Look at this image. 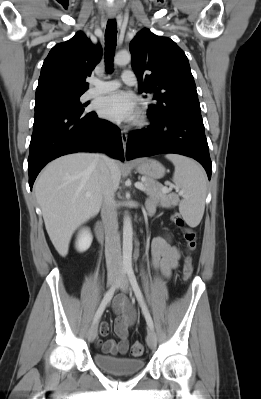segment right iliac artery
<instances>
[{
	"label": "right iliac artery",
	"mask_w": 261,
	"mask_h": 399,
	"mask_svg": "<svg viewBox=\"0 0 261 399\" xmlns=\"http://www.w3.org/2000/svg\"><path fill=\"white\" fill-rule=\"evenodd\" d=\"M126 270H122V275L121 278L125 276ZM120 278V280H121ZM120 280L114 285L112 286L104 295V298L99 306V308L97 309L94 319H93V323L98 322V320L101 318L105 308L107 307V305L110 303L112 297L114 296L119 284H120Z\"/></svg>",
	"instance_id": "right-iliac-artery-1"
}]
</instances>
